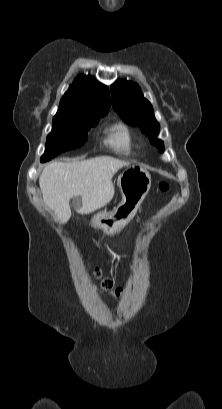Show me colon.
<instances>
[{
	"label": "colon",
	"mask_w": 222,
	"mask_h": 409,
	"mask_svg": "<svg viewBox=\"0 0 222 409\" xmlns=\"http://www.w3.org/2000/svg\"><path fill=\"white\" fill-rule=\"evenodd\" d=\"M159 188L161 191H167L169 187L167 183L162 182L160 183ZM87 266L91 272L93 280L96 282L98 289L101 292L108 293L114 298H117L121 295L122 290L120 288L114 287L112 281L104 277L98 267H95L90 263Z\"/></svg>",
	"instance_id": "obj_1"
}]
</instances>
